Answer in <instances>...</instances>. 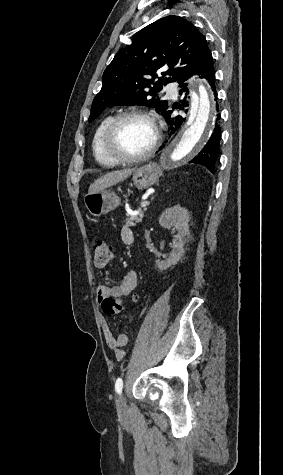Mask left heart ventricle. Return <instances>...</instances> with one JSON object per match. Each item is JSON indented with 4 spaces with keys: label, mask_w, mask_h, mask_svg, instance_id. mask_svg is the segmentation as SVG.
<instances>
[{
    "label": "left heart ventricle",
    "mask_w": 283,
    "mask_h": 475,
    "mask_svg": "<svg viewBox=\"0 0 283 475\" xmlns=\"http://www.w3.org/2000/svg\"><path fill=\"white\" fill-rule=\"evenodd\" d=\"M156 129L153 123L142 117H132L122 121L108 148L113 157L134 158L146 153L153 145Z\"/></svg>",
    "instance_id": "obj_1"
}]
</instances>
